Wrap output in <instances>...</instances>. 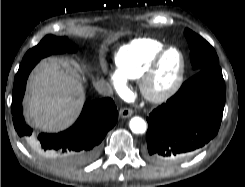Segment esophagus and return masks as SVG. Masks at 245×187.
<instances>
[{
	"mask_svg": "<svg viewBox=\"0 0 245 187\" xmlns=\"http://www.w3.org/2000/svg\"><path fill=\"white\" fill-rule=\"evenodd\" d=\"M132 114H133L132 109L126 108V107L120 109V112H119V115H120L121 118H128V117H130Z\"/></svg>",
	"mask_w": 245,
	"mask_h": 187,
	"instance_id": "obj_1",
	"label": "esophagus"
}]
</instances>
